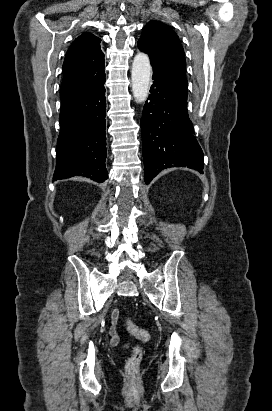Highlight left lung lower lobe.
I'll return each mask as SVG.
<instances>
[{
	"mask_svg": "<svg viewBox=\"0 0 272 411\" xmlns=\"http://www.w3.org/2000/svg\"><path fill=\"white\" fill-rule=\"evenodd\" d=\"M151 94L141 118L145 182L163 169L202 170L203 152L187 111V89L153 71Z\"/></svg>",
	"mask_w": 272,
	"mask_h": 411,
	"instance_id": "1",
	"label": "left lung lower lobe"
}]
</instances>
